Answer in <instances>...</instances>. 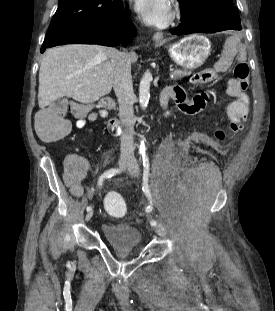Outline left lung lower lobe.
I'll use <instances>...</instances> for the list:
<instances>
[{
    "label": "left lung lower lobe",
    "mask_w": 275,
    "mask_h": 311,
    "mask_svg": "<svg viewBox=\"0 0 275 311\" xmlns=\"http://www.w3.org/2000/svg\"><path fill=\"white\" fill-rule=\"evenodd\" d=\"M180 21L181 23L171 31L172 34L216 33L242 29L241 20H235L227 11H207L188 19L181 16Z\"/></svg>",
    "instance_id": "1"
}]
</instances>
